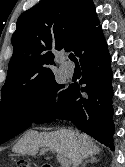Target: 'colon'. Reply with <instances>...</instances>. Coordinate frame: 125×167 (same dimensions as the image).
<instances>
[{
  "instance_id": "colon-1",
  "label": "colon",
  "mask_w": 125,
  "mask_h": 167,
  "mask_svg": "<svg viewBox=\"0 0 125 167\" xmlns=\"http://www.w3.org/2000/svg\"><path fill=\"white\" fill-rule=\"evenodd\" d=\"M16 167H32V163L29 160H18Z\"/></svg>"
}]
</instances>
